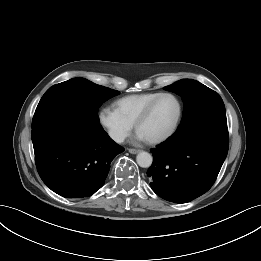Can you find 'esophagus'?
Segmentation results:
<instances>
[{"label":"esophagus","mask_w":261,"mask_h":261,"mask_svg":"<svg viewBox=\"0 0 261 261\" xmlns=\"http://www.w3.org/2000/svg\"><path fill=\"white\" fill-rule=\"evenodd\" d=\"M128 151H129L131 154H137L140 150H139V149L130 148V149H128Z\"/></svg>","instance_id":"34e87169"}]
</instances>
